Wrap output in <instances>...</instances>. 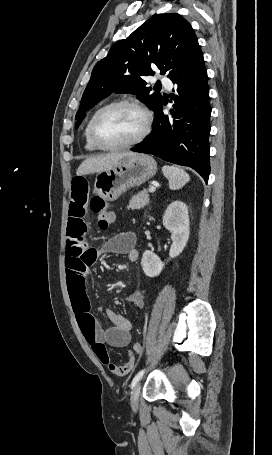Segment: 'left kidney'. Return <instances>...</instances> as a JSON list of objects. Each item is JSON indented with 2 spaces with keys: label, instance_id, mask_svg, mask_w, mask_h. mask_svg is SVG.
<instances>
[{
  "label": "left kidney",
  "instance_id": "obj_1",
  "mask_svg": "<svg viewBox=\"0 0 272 455\" xmlns=\"http://www.w3.org/2000/svg\"><path fill=\"white\" fill-rule=\"evenodd\" d=\"M163 225L171 232L172 245L169 256L175 258L183 251L189 239V215L186 204L181 201L172 202L163 216ZM141 265L146 276L156 277L165 264L153 252L145 251Z\"/></svg>",
  "mask_w": 272,
  "mask_h": 455
}]
</instances>
